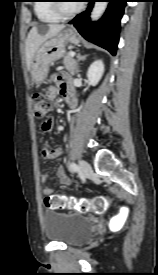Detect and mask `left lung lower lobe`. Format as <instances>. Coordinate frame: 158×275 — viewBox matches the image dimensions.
<instances>
[{"label": "left lung lower lobe", "mask_w": 158, "mask_h": 275, "mask_svg": "<svg viewBox=\"0 0 158 275\" xmlns=\"http://www.w3.org/2000/svg\"><path fill=\"white\" fill-rule=\"evenodd\" d=\"M95 1L91 0L88 9L77 15L70 23H73L85 39L115 55L126 0H105L109 2V6L104 16L98 22H90L89 14Z\"/></svg>", "instance_id": "left-lung-lower-lobe-1"}]
</instances>
